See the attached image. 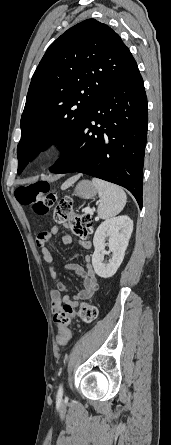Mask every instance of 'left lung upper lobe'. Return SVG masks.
<instances>
[{
    "mask_svg": "<svg viewBox=\"0 0 171 445\" xmlns=\"http://www.w3.org/2000/svg\"><path fill=\"white\" fill-rule=\"evenodd\" d=\"M136 66L120 36L95 19L82 21L57 38L29 86L17 147L18 173L53 139L63 152L95 100Z\"/></svg>",
    "mask_w": 171,
    "mask_h": 445,
    "instance_id": "5c2ea615",
    "label": "left lung upper lobe"
}]
</instances>
